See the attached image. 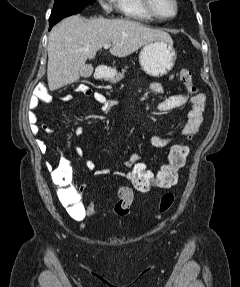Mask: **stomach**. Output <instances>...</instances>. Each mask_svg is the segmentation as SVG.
<instances>
[{
  "instance_id": "stomach-1",
  "label": "stomach",
  "mask_w": 240,
  "mask_h": 287,
  "mask_svg": "<svg viewBox=\"0 0 240 287\" xmlns=\"http://www.w3.org/2000/svg\"><path fill=\"white\" fill-rule=\"evenodd\" d=\"M176 57L172 41L156 40L143 46L139 63L146 74L161 77L172 70Z\"/></svg>"
}]
</instances>
